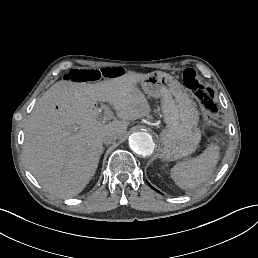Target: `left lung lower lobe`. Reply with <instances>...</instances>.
<instances>
[{"mask_svg": "<svg viewBox=\"0 0 258 258\" xmlns=\"http://www.w3.org/2000/svg\"><path fill=\"white\" fill-rule=\"evenodd\" d=\"M149 186L151 187V188H153L150 184H149ZM154 190H156L155 188H153ZM157 191V190H156ZM158 192V191H157Z\"/></svg>", "mask_w": 258, "mask_h": 258, "instance_id": "left-lung-lower-lobe-1", "label": "left lung lower lobe"}]
</instances>
